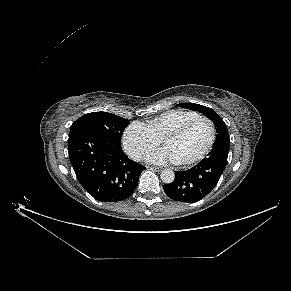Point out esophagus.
<instances>
[{
  "label": "esophagus",
  "instance_id": "obj_1",
  "mask_svg": "<svg viewBox=\"0 0 291 291\" xmlns=\"http://www.w3.org/2000/svg\"><path fill=\"white\" fill-rule=\"evenodd\" d=\"M148 169L153 170V171H156V172L161 171V168H159V167H153V166H149Z\"/></svg>",
  "mask_w": 291,
  "mask_h": 291
}]
</instances>
